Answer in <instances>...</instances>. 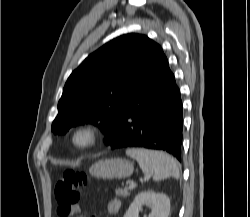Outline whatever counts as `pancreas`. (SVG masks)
<instances>
[{
  "label": "pancreas",
  "mask_w": 250,
  "mask_h": 217,
  "mask_svg": "<svg viewBox=\"0 0 250 217\" xmlns=\"http://www.w3.org/2000/svg\"><path fill=\"white\" fill-rule=\"evenodd\" d=\"M115 193H116L117 196H122V197H127V196L130 195V193H129V191L127 189L123 190V189H120V188L116 189Z\"/></svg>",
  "instance_id": "pancreas-1"
}]
</instances>
